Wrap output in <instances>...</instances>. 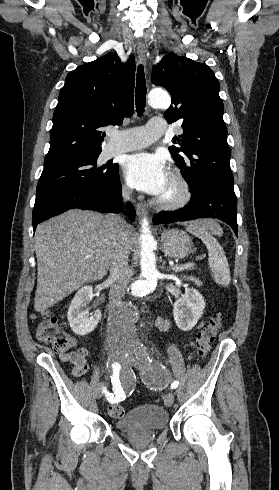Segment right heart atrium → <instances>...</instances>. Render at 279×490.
Returning a JSON list of instances; mask_svg holds the SVG:
<instances>
[{"mask_svg":"<svg viewBox=\"0 0 279 490\" xmlns=\"http://www.w3.org/2000/svg\"><path fill=\"white\" fill-rule=\"evenodd\" d=\"M120 193L123 197H128L131 193V189L127 184L122 183L120 185Z\"/></svg>","mask_w":279,"mask_h":490,"instance_id":"right-heart-atrium-1","label":"right heart atrium"}]
</instances>
